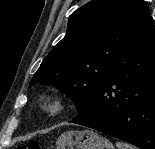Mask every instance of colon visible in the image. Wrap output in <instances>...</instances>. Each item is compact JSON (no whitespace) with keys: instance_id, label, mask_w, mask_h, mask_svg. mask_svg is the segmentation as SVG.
I'll return each mask as SVG.
<instances>
[{"instance_id":"obj_1","label":"colon","mask_w":155,"mask_h":149,"mask_svg":"<svg viewBox=\"0 0 155 149\" xmlns=\"http://www.w3.org/2000/svg\"><path fill=\"white\" fill-rule=\"evenodd\" d=\"M16 149H41V145L37 141H30L27 144L17 146Z\"/></svg>"}]
</instances>
